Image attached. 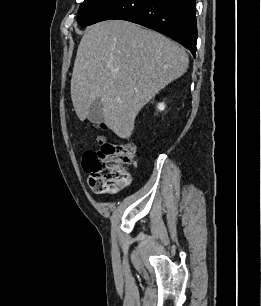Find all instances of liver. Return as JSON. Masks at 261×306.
<instances>
[{
	"label": "liver",
	"mask_w": 261,
	"mask_h": 306,
	"mask_svg": "<svg viewBox=\"0 0 261 306\" xmlns=\"http://www.w3.org/2000/svg\"><path fill=\"white\" fill-rule=\"evenodd\" d=\"M188 55L155 31L123 20L87 28L78 46L71 99L80 120L101 98L105 124L128 139L139 111L188 68Z\"/></svg>",
	"instance_id": "6515ba94"
}]
</instances>
